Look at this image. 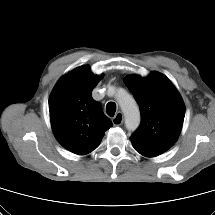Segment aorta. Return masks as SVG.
<instances>
[{
  "mask_svg": "<svg viewBox=\"0 0 215 215\" xmlns=\"http://www.w3.org/2000/svg\"><path fill=\"white\" fill-rule=\"evenodd\" d=\"M117 101L125 116V126L128 130H135L140 124V111L134 98L125 91L117 95Z\"/></svg>",
  "mask_w": 215,
  "mask_h": 215,
  "instance_id": "obj_1",
  "label": "aorta"
}]
</instances>
